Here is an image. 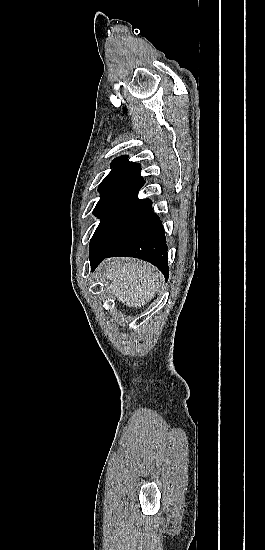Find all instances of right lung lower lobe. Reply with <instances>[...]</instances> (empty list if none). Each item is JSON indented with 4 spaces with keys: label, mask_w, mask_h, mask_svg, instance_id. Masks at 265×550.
Here are the masks:
<instances>
[{
    "label": "right lung lower lobe",
    "mask_w": 265,
    "mask_h": 550,
    "mask_svg": "<svg viewBox=\"0 0 265 550\" xmlns=\"http://www.w3.org/2000/svg\"><path fill=\"white\" fill-rule=\"evenodd\" d=\"M129 256L143 259L157 266L166 280L169 276L167 244L162 222L152 207L137 224L109 251L89 254L91 271L106 257Z\"/></svg>",
    "instance_id": "1"
}]
</instances>
